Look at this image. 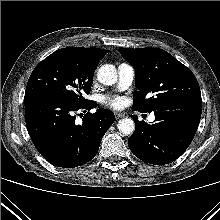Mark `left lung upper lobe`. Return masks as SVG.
Instances as JSON below:
<instances>
[{
    "instance_id": "obj_1",
    "label": "left lung upper lobe",
    "mask_w": 220,
    "mask_h": 220,
    "mask_svg": "<svg viewBox=\"0 0 220 220\" xmlns=\"http://www.w3.org/2000/svg\"><path fill=\"white\" fill-rule=\"evenodd\" d=\"M135 69L133 110L152 112L182 100L201 99L198 81L189 68L159 48H119Z\"/></svg>"
}]
</instances>
